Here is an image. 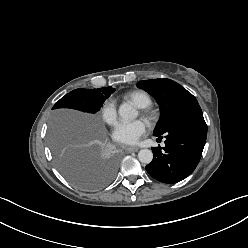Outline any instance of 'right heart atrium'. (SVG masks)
<instances>
[{"mask_svg":"<svg viewBox=\"0 0 248 248\" xmlns=\"http://www.w3.org/2000/svg\"><path fill=\"white\" fill-rule=\"evenodd\" d=\"M100 115L102 120L109 124L113 125L117 121V106L115 101L108 99L104 101L100 108Z\"/></svg>","mask_w":248,"mask_h":248,"instance_id":"1","label":"right heart atrium"}]
</instances>
